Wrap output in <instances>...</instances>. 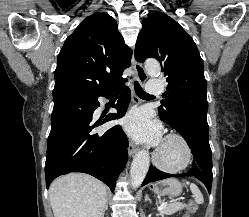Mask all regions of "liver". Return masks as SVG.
I'll list each match as a JSON object with an SVG mask.
<instances>
[{"label": "liver", "instance_id": "1", "mask_svg": "<svg viewBox=\"0 0 249 217\" xmlns=\"http://www.w3.org/2000/svg\"><path fill=\"white\" fill-rule=\"evenodd\" d=\"M49 199L54 217H102L107 190L88 174L71 173L52 182Z\"/></svg>", "mask_w": 249, "mask_h": 217}]
</instances>
